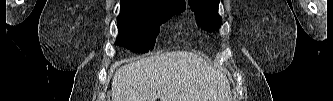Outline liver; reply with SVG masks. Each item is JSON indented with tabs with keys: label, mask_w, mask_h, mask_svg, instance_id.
Listing matches in <instances>:
<instances>
[{
	"label": "liver",
	"mask_w": 333,
	"mask_h": 101,
	"mask_svg": "<svg viewBox=\"0 0 333 101\" xmlns=\"http://www.w3.org/2000/svg\"><path fill=\"white\" fill-rule=\"evenodd\" d=\"M227 77L204 59L173 51L119 68L112 101H232Z\"/></svg>",
	"instance_id": "6515ba94"
}]
</instances>
